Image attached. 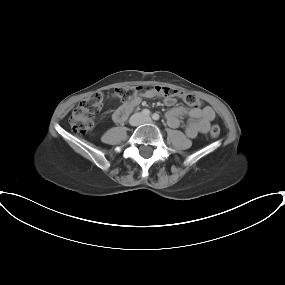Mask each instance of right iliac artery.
<instances>
[{"mask_svg":"<svg viewBox=\"0 0 285 285\" xmlns=\"http://www.w3.org/2000/svg\"><path fill=\"white\" fill-rule=\"evenodd\" d=\"M150 113H151V112H150L148 109L142 110V114H143L144 116H149Z\"/></svg>","mask_w":285,"mask_h":285,"instance_id":"obj_1","label":"right iliac artery"}]
</instances>
